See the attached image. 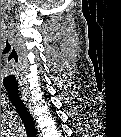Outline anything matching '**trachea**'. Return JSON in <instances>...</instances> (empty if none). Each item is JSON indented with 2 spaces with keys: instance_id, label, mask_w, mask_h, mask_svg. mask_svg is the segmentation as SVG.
Segmentation results:
<instances>
[{
  "instance_id": "1",
  "label": "trachea",
  "mask_w": 121,
  "mask_h": 137,
  "mask_svg": "<svg viewBox=\"0 0 121 137\" xmlns=\"http://www.w3.org/2000/svg\"><path fill=\"white\" fill-rule=\"evenodd\" d=\"M3 75H4V79H3L4 87L8 92L12 104L15 106L23 123L25 124L26 129L28 131L34 130L35 129L34 120L19 95L17 72L14 68V63L10 61V59L5 64Z\"/></svg>"
}]
</instances>
